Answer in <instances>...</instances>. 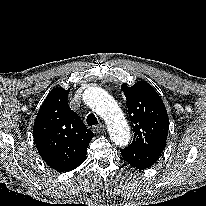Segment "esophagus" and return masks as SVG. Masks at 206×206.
<instances>
[{
  "mask_svg": "<svg viewBox=\"0 0 206 206\" xmlns=\"http://www.w3.org/2000/svg\"><path fill=\"white\" fill-rule=\"evenodd\" d=\"M105 129V125L104 124H99V125H96L92 128L93 132L94 133H98L100 131H103Z\"/></svg>",
  "mask_w": 206,
  "mask_h": 206,
  "instance_id": "1",
  "label": "esophagus"
}]
</instances>
